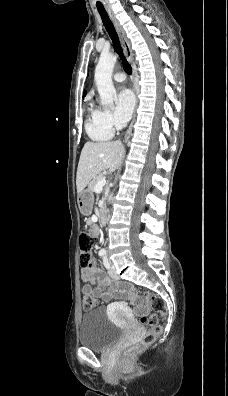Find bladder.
Masks as SVG:
<instances>
[{"instance_id": "1", "label": "bladder", "mask_w": 228, "mask_h": 396, "mask_svg": "<svg viewBox=\"0 0 228 396\" xmlns=\"http://www.w3.org/2000/svg\"><path fill=\"white\" fill-rule=\"evenodd\" d=\"M122 329L112 323L103 309L97 308L83 315L79 343L95 351H105L121 337Z\"/></svg>"}]
</instances>
